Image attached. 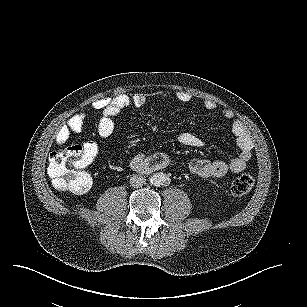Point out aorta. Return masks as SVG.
<instances>
[{
	"label": "aorta",
	"instance_id": "762f6f07",
	"mask_svg": "<svg viewBox=\"0 0 307 307\" xmlns=\"http://www.w3.org/2000/svg\"><path fill=\"white\" fill-rule=\"evenodd\" d=\"M166 181V177L163 173L157 172L151 176V184L154 186H161Z\"/></svg>",
	"mask_w": 307,
	"mask_h": 307
}]
</instances>
